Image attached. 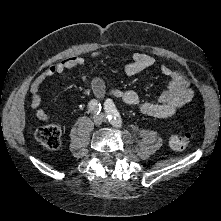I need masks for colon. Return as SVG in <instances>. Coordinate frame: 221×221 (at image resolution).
<instances>
[{
    "mask_svg": "<svg viewBox=\"0 0 221 221\" xmlns=\"http://www.w3.org/2000/svg\"><path fill=\"white\" fill-rule=\"evenodd\" d=\"M36 140L50 150H55L60 146L61 142V128L58 124H48L41 126L35 131ZM192 136L189 132H176L169 138V145L173 150L185 149Z\"/></svg>",
    "mask_w": 221,
    "mask_h": 221,
    "instance_id": "colon-1",
    "label": "colon"
}]
</instances>
